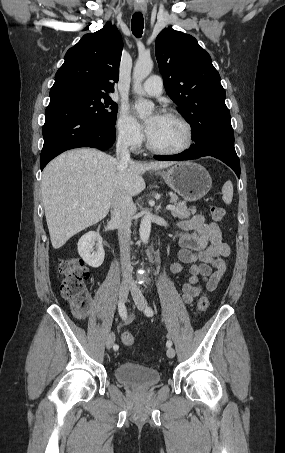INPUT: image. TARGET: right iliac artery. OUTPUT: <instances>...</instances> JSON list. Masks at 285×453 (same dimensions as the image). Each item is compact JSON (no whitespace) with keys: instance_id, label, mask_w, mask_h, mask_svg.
Returning a JSON list of instances; mask_svg holds the SVG:
<instances>
[{"instance_id":"right-iliac-artery-1","label":"right iliac artery","mask_w":285,"mask_h":453,"mask_svg":"<svg viewBox=\"0 0 285 453\" xmlns=\"http://www.w3.org/2000/svg\"><path fill=\"white\" fill-rule=\"evenodd\" d=\"M118 312H119V315L122 319H125L126 316H127V310H126V306L124 304V302L120 301L119 304H118ZM114 350H118L119 346L117 344H115L113 346Z\"/></svg>"}]
</instances>
